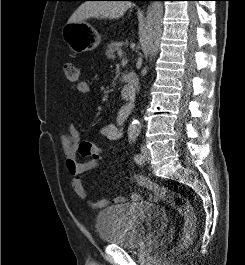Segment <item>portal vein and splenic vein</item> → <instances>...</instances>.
I'll list each match as a JSON object with an SVG mask.
<instances>
[{"label": "portal vein and splenic vein", "mask_w": 245, "mask_h": 265, "mask_svg": "<svg viewBox=\"0 0 245 265\" xmlns=\"http://www.w3.org/2000/svg\"><path fill=\"white\" fill-rule=\"evenodd\" d=\"M117 54H118L119 57H122V54H123L122 50H118Z\"/></svg>", "instance_id": "obj_1"}]
</instances>
